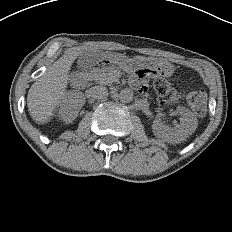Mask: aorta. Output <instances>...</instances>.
Here are the masks:
<instances>
[{"label":"aorta","mask_w":232,"mask_h":232,"mask_svg":"<svg viewBox=\"0 0 232 232\" xmlns=\"http://www.w3.org/2000/svg\"><path fill=\"white\" fill-rule=\"evenodd\" d=\"M120 100L123 103H129L133 99V91L129 88L122 89L119 94Z\"/></svg>","instance_id":"aorta-1"}]
</instances>
